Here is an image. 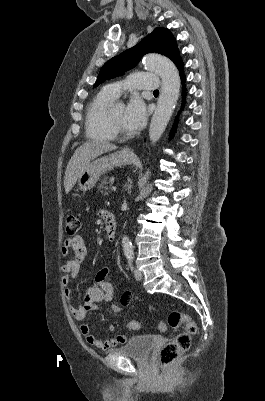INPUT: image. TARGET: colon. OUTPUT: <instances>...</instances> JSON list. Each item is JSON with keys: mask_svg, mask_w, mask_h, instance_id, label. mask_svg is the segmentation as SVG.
I'll list each match as a JSON object with an SVG mask.
<instances>
[{"mask_svg": "<svg viewBox=\"0 0 265 401\" xmlns=\"http://www.w3.org/2000/svg\"><path fill=\"white\" fill-rule=\"evenodd\" d=\"M80 229V221L78 217L70 215L66 219V231L70 235L76 234ZM183 325L184 330L179 333L173 340L165 344L160 350V364L162 369L168 370L178 360V358L189 349L191 344V336L197 331L196 323L185 313L174 310L170 312L166 321L158 324L160 331H165L168 327L178 328ZM131 329H138L140 323L137 320L129 322Z\"/></svg>", "mask_w": 265, "mask_h": 401, "instance_id": "obj_1", "label": "colon"}]
</instances>
